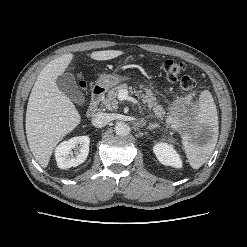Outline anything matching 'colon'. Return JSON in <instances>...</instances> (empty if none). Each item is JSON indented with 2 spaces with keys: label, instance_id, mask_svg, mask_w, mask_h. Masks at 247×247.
<instances>
[{
  "label": "colon",
  "instance_id": "obj_1",
  "mask_svg": "<svg viewBox=\"0 0 247 247\" xmlns=\"http://www.w3.org/2000/svg\"><path fill=\"white\" fill-rule=\"evenodd\" d=\"M161 68L170 82L179 80L180 89L183 92H189L194 88L195 81L193 78L190 76L180 77L186 69L184 63L173 59H166L163 61ZM83 87H86V84H84Z\"/></svg>",
  "mask_w": 247,
  "mask_h": 247
}]
</instances>
